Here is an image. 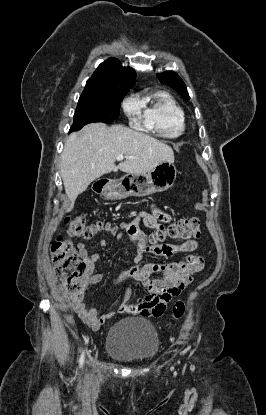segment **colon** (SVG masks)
I'll return each instance as SVG.
<instances>
[{
	"mask_svg": "<svg viewBox=\"0 0 266 415\" xmlns=\"http://www.w3.org/2000/svg\"><path fill=\"white\" fill-rule=\"evenodd\" d=\"M67 233L72 237L89 239L104 228L101 222L89 224L83 215H76L66 220ZM108 229H112L107 226ZM113 230V229H112ZM200 223L197 218L178 219L156 230L152 235L153 242L165 240H191L199 237ZM51 256L57 276L63 281L67 290L75 297L81 287V280L87 273L84 259L74 248L72 242L59 236L51 246ZM174 317L181 318L185 313V304L178 301L172 308ZM163 312H159L161 315Z\"/></svg>",
	"mask_w": 266,
	"mask_h": 415,
	"instance_id": "obj_1",
	"label": "colon"
}]
</instances>
